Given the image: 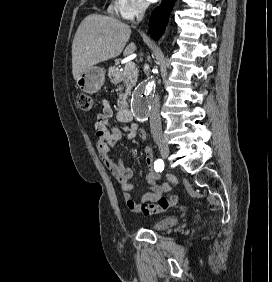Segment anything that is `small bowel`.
I'll return each instance as SVG.
<instances>
[{
	"instance_id": "obj_1",
	"label": "small bowel",
	"mask_w": 272,
	"mask_h": 282,
	"mask_svg": "<svg viewBox=\"0 0 272 282\" xmlns=\"http://www.w3.org/2000/svg\"><path fill=\"white\" fill-rule=\"evenodd\" d=\"M113 116V110L108 101L103 102L101 112L97 115L94 122L95 134L97 136V151L110 173L121 184L122 195L128 209L132 212H141L145 203H155L160 199V196L168 191L173 181L172 175H167L168 182L163 185H158L156 182L160 179V175L153 171V154L149 148L144 149L146 156V165L152 170L147 176V182L150 186V191L144 193L140 197H135L132 192L136 185L131 182L133 178V170L125 162L124 157L117 159L111 156V153L116 143L125 136L129 140L139 137L142 141L146 140L145 131L137 123L125 125L123 127H110L109 120Z\"/></svg>"
}]
</instances>
